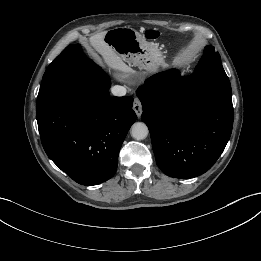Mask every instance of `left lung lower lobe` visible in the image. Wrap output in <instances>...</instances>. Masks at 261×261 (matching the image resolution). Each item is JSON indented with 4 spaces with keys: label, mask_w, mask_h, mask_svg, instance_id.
<instances>
[{
    "label": "left lung lower lobe",
    "mask_w": 261,
    "mask_h": 261,
    "mask_svg": "<svg viewBox=\"0 0 261 261\" xmlns=\"http://www.w3.org/2000/svg\"><path fill=\"white\" fill-rule=\"evenodd\" d=\"M156 163L170 177L188 179L208 171L232 132L229 78L222 65L199 63L190 77L168 70L137 90Z\"/></svg>",
    "instance_id": "0a47b994"
}]
</instances>
